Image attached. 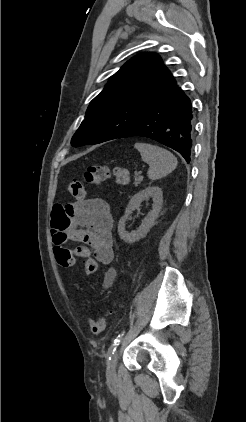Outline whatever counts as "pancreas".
<instances>
[{"instance_id": "1", "label": "pancreas", "mask_w": 246, "mask_h": 422, "mask_svg": "<svg viewBox=\"0 0 246 422\" xmlns=\"http://www.w3.org/2000/svg\"><path fill=\"white\" fill-rule=\"evenodd\" d=\"M142 177L141 176H136L135 177V185L139 184L142 181Z\"/></svg>"}]
</instances>
